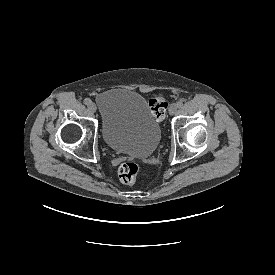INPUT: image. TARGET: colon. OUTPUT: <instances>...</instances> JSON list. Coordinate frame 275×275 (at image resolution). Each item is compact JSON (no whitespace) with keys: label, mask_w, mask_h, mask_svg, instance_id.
Masks as SVG:
<instances>
[{"label":"colon","mask_w":275,"mask_h":275,"mask_svg":"<svg viewBox=\"0 0 275 275\" xmlns=\"http://www.w3.org/2000/svg\"><path fill=\"white\" fill-rule=\"evenodd\" d=\"M148 105L152 112L155 114L157 120H163L168 107L165 99L161 96L156 97L154 99H151ZM139 172V165L132 161L124 162L123 164H121L118 170L121 182L128 185H133L136 182Z\"/></svg>","instance_id":"colon-1"}]
</instances>
